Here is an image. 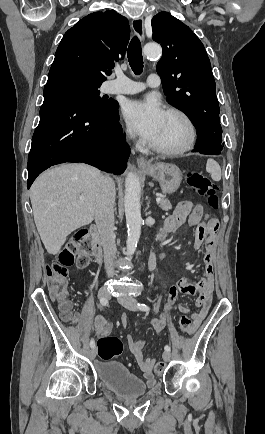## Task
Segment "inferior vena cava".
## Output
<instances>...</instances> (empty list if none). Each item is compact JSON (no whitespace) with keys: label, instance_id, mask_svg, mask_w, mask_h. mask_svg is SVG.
Instances as JSON below:
<instances>
[{"label":"inferior vena cava","instance_id":"1","mask_svg":"<svg viewBox=\"0 0 265 434\" xmlns=\"http://www.w3.org/2000/svg\"><path fill=\"white\" fill-rule=\"evenodd\" d=\"M98 196L95 206V222L100 234L104 264L108 278L114 276V258H116L114 202L116 196L115 184L109 176H100L97 182Z\"/></svg>","mask_w":265,"mask_h":434}]
</instances>
